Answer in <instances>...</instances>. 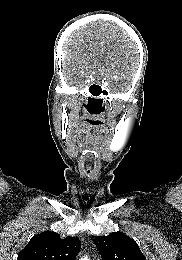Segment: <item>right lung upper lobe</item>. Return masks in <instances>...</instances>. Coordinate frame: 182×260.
<instances>
[{
  "label": "right lung upper lobe",
  "instance_id": "cb5924a9",
  "mask_svg": "<svg viewBox=\"0 0 182 260\" xmlns=\"http://www.w3.org/2000/svg\"><path fill=\"white\" fill-rule=\"evenodd\" d=\"M80 249L77 238L61 239L59 234L46 231L33 236L17 260H75Z\"/></svg>",
  "mask_w": 182,
  "mask_h": 260
}]
</instances>
